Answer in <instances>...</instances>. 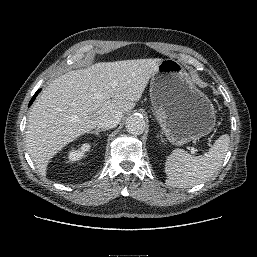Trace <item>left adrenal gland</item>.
<instances>
[{"label": "left adrenal gland", "instance_id": "left-adrenal-gland-1", "mask_svg": "<svg viewBox=\"0 0 257 257\" xmlns=\"http://www.w3.org/2000/svg\"><path fill=\"white\" fill-rule=\"evenodd\" d=\"M160 137H161V141L164 142V140H163V138H162V135H160Z\"/></svg>", "mask_w": 257, "mask_h": 257}]
</instances>
